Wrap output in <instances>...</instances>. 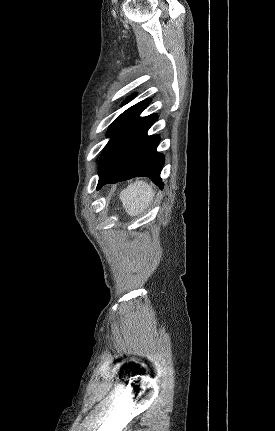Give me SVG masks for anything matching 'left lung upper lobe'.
Instances as JSON below:
<instances>
[{
    "instance_id": "5c2ea615",
    "label": "left lung upper lobe",
    "mask_w": 275,
    "mask_h": 431,
    "mask_svg": "<svg viewBox=\"0 0 275 431\" xmlns=\"http://www.w3.org/2000/svg\"><path fill=\"white\" fill-rule=\"evenodd\" d=\"M133 98L134 96L128 97L124 104ZM149 103L150 99H146L133 105L112 122L107 133L110 140L101 153L99 173L104 172L119 152L157 116L152 114L140 117V114Z\"/></svg>"
}]
</instances>
